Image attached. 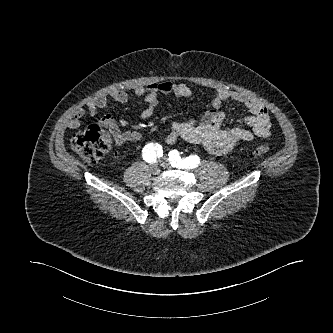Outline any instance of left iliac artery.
I'll use <instances>...</instances> for the list:
<instances>
[{
	"instance_id": "1",
	"label": "left iliac artery",
	"mask_w": 333,
	"mask_h": 333,
	"mask_svg": "<svg viewBox=\"0 0 333 333\" xmlns=\"http://www.w3.org/2000/svg\"><path fill=\"white\" fill-rule=\"evenodd\" d=\"M169 160L174 167L182 169L195 168L200 163V158L197 155L181 158L177 150H172L169 152Z\"/></svg>"
}]
</instances>
